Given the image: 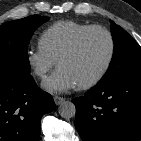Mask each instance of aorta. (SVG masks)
Returning a JSON list of instances; mask_svg holds the SVG:
<instances>
[{
  "label": "aorta",
  "mask_w": 141,
  "mask_h": 141,
  "mask_svg": "<svg viewBox=\"0 0 141 141\" xmlns=\"http://www.w3.org/2000/svg\"><path fill=\"white\" fill-rule=\"evenodd\" d=\"M58 111L60 116L65 119H70L76 114L75 105L70 101H64L63 103H61Z\"/></svg>",
  "instance_id": "aorta-1"
}]
</instances>
